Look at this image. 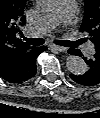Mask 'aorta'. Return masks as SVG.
I'll return each mask as SVG.
<instances>
[{
    "label": "aorta",
    "mask_w": 100,
    "mask_h": 118,
    "mask_svg": "<svg viewBox=\"0 0 100 118\" xmlns=\"http://www.w3.org/2000/svg\"><path fill=\"white\" fill-rule=\"evenodd\" d=\"M37 9L49 13L58 5V0H36ZM66 67L74 75H82L87 71V64L79 56L69 55L66 58Z\"/></svg>",
    "instance_id": "762f6f07"
}]
</instances>
